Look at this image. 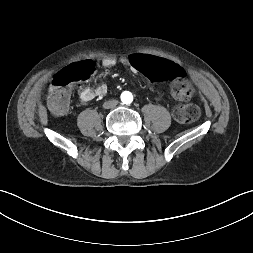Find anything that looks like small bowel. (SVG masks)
Returning <instances> with one entry per match:
<instances>
[{"label":"small bowel","instance_id":"obj_1","mask_svg":"<svg viewBox=\"0 0 253 253\" xmlns=\"http://www.w3.org/2000/svg\"><path fill=\"white\" fill-rule=\"evenodd\" d=\"M132 55H135V54H132ZM132 55L122 57L120 59V62L123 65L128 66L132 71L139 72L138 70H136L132 66V63H131V56ZM117 62H118L117 58H115L113 56H106L102 59L101 64L105 68H111V67L115 66ZM107 90L108 89L105 84H100L95 88L89 87V86L83 87L79 91V98L82 102H88V101L93 100L94 98L105 96L107 94Z\"/></svg>","mask_w":253,"mask_h":253}]
</instances>
